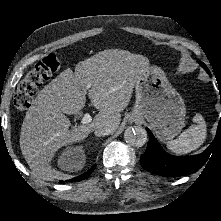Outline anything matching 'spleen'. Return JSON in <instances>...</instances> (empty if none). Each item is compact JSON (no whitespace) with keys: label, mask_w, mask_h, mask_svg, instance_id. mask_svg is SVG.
I'll use <instances>...</instances> for the list:
<instances>
[{"label":"spleen","mask_w":221,"mask_h":221,"mask_svg":"<svg viewBox=\"0 0 221 221\" xmlns=\"http://www.w3.org/2000/svg\"><path fill=\"white\" fill-rule=\"evenodd\" d=\"M194 125L190 126L181 135L167 143L169 150L176 154H187L198 149L205 141L207 130L206 122L200 113L193 117Z\"/></svg>","instance_id":"obj_1"}]
</instances>
